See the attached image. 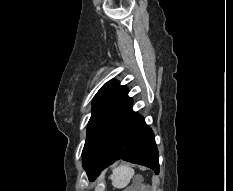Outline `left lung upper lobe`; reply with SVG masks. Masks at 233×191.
<instances>
[{
    "instance_id": "1",
    "label": "left lung upper lobe",
    "mask_w": 233,
    "mask_h": 191,
    "mask_svg": "<svg viewBox=\"0 0 233 191\" xmlns=\"http://www.w3.org/2000/svg\"><path fill=\"white\" fill-rule=\"evenodd\" d=\"M128 89L117 80H110L102 86L93 99L92 115L87 127V138L82 152L83 165L95 142L128 102Z\"/></svg>"
}]
</instances>
